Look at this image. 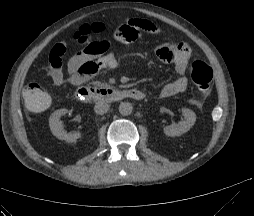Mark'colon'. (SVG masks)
Wrapping results in <instances>:
<instances>
[{
    "mask_svg": "<svg viewBox=\"0 0 254 216\" xmlns=\"http://www.w3.org/2000/svg\"><path fill=\"white\" fill-rule=\"evenodd\" d=\"M104 26L100 23L84 25L75 34L76 42L80 46L94 47L104 51L109 47V40L104 35ZM188 74L195 86L207 94L212 85L213 71L204 61L193 59L188 63ZM27 107L34 112L44 111L50 103L48 93L36 82L30 83L23 91Z\"/></svg>",
    "mask_w": 254,
    "mask_h": 216,
    "instance_id": "1",
    "label": "colon"
}]
</instances>
